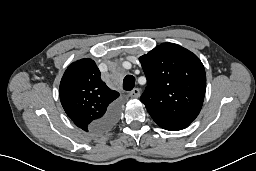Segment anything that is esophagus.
Here are the masks:
<instances>
[{"label":"esophagus","instance_id":"1","mask_svg":"<svg viewBox=\"0 0 256 171\" xmlns=\"http://www.w3.org/2000/svg\"><path fill=\"white\" fill-rule=\"evenodd\" d=\"M129 95L132 97V98H138L140 96V89L139 88H134L130 93Z\"/></svg>","mask_w":256,"mask_h":171}]
</instances>
